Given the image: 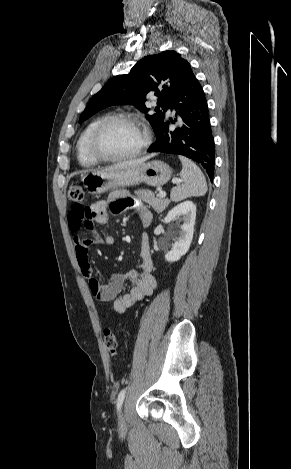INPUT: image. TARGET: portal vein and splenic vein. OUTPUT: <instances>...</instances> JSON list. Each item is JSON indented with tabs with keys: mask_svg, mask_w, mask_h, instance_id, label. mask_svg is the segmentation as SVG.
Segmentation results:
<instances>
[{
	"mask_svg": "<svg viewBox=\"0 0 291 469\" xmlns=\"http://www.w3.org/2000/svg\"><path fill=\"white\" fill-rule=\"evenodd\" d=\"M181 181L178 179H173V183H180ZM166 196V193L164 191L159 192V197L164 198Z\"/></svg>",
	"mask_w": 291,
	"mask_h": 469,
	"instance_id": "obj_1",
	"label": "portal vein and splenic vein"
}]
</instances>
